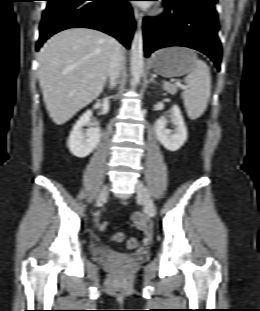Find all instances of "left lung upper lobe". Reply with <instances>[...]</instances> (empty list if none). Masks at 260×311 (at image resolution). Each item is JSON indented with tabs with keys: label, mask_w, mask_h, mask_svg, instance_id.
Masks as SVG:
<instances>
[{
	"label": "left lung upper lobe",
	"mask_w": 260,
	"mask_h": 311,
	"mask_svg": "<svg viewBox=\"0 0 260 311\" xmlns=\"http://www.w3.org/2000/svg\"><path fill=\"white\" fill-rule=\"evenodd\" d=\"M198 1L203 2V3L207 4V5H210L213 8H214L215 3L217 2V0H198Z\"/></svg>",
	"instance_id": "5c2ea615"
}]
</instances>
